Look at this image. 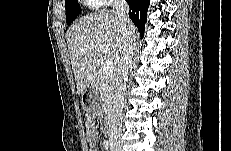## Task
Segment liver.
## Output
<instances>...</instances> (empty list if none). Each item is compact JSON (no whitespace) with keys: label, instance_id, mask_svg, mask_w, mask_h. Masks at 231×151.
Returning a JSON list of instances; mask_svg holds the SVG:
<instances>
[{"label":"liver","instance_id":"liver-1","mask_svg":"<svg viewBox=\"0 0 231 151\" xmlns=\"http://www.w3.org/2000/svg\"><path fill=\"white\" fill-rule=\"evenodd\" d=\"M134 41L138 37L132 24ZM126 38L121 31L118 17L113 11H99L80 18L67 31L70 61L77 86V94H83L95 79L99 46L107 49L105 57L116 71Z\"/></svg>","mask_w":231,"mask_h":151}]
</instances>
